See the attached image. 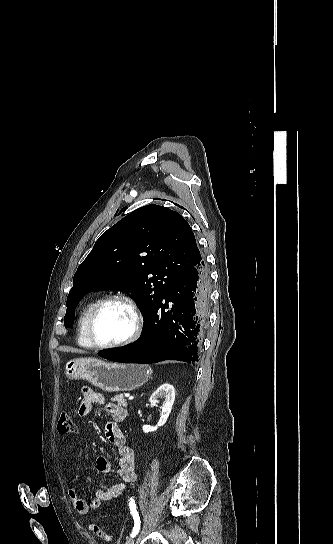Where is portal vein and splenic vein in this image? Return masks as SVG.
<instances>
[{"label":"portal vein and splenic vein","mask_w":333,"mask_h":544,"mask_svg":"<svg viewBox=\"0 0 333 544\" xmlns=\"http://www.w3.org/2000/svg\"><path fill=\"white\" fill-rule=\"evenodd\" d=\"M125 397H128V398H129V397H130V394H125Z\"/></svg>","instance_id":"18ae733b"}]
</instances>
